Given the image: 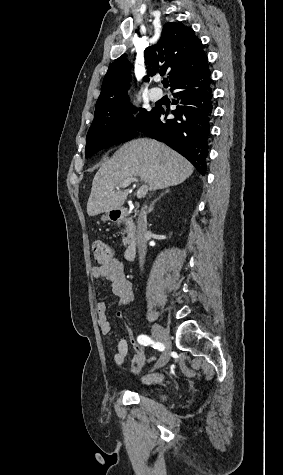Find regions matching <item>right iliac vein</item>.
Returning a JSON list of instances; mask_svg holds the SVG:
<instances>
[{"mask_svg":"<svg viewBox=\"0 0 283 475\" xmlns=\"http://www.w3.org/2000/svg\"><path fill=\"white\" fill-rule=\"evenodd\" d=\"M152 335L155 339L159 340L165 347L164 352L159 358L158 363L156 365V368H160L165 366L170 359L171 343L169 333L163 326L155 323L152 326Z\"/></svg>","mask_w":283,"mask_h":475,"instance_id":"63e3f726","label":"right iliac vein"}]
</instances>
